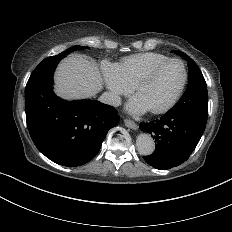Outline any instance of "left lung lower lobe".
Listing matches in <instances>:
<instances>
[{
  "mask_svg": "<svg viewBox=\"0 0 232 232\" xmlns=\"http://www.w3.org/2000/svg\"><path fill=\"white\" fill-rule=\"evenodd\" d=\"M155 139V151L144 156L152 167L167 170L185 162L195 150L206 123L187 113L167 112L163 117L139 125Z\"/></svg>",
  "mask_w": 232,
  "mask_h": 232,
  "instance_id": "left-lung-lower-lobe-1",
  "label": "left lung lower lobe"
}]
</instances>
